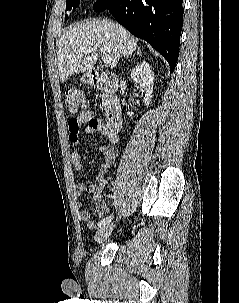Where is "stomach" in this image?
<instances>
[{
  "instance_id": "0dacf381",
  "label": "stomach",
  "mask_w": 239,
  "mask_h": 303,
  "mask_svg": "<svg viewBox=\"0 0 239 303\" xmlns=\"http://www.w3.org/2000/svg\"><path fill=\"white\" fill-rule=\"evenodd\" d=\"M81 80L85 83H89V78L88 75H83V77L81 78Z\"/></svg>"
}]
</instances>
